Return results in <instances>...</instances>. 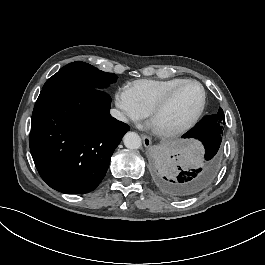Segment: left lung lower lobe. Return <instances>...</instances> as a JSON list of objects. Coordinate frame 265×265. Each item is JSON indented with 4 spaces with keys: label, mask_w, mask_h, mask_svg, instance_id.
Masks as SVG:
<instances>
[{
    "label": "left lung lower lobe",
    "mask_w": 265,
    "mask_h": 265,
    "mask_svg": "<svg viewBox=\"0 0 265 265\" xmlns=\"http://www.w3.org/2000/svg\"><path fill=\"white\" fill-rule=\"evenodd\" d=\"M222 122L214 115L205 116L183 138L199 140L203 149L192 169L181 168L179 154L162 151L154 161L153 179L167 195L188 198L205 190L213 181L221 164ZM179 173V174H178Z\"/></svg>",
    "instance_id": "obj_1"
}]
</instances>
